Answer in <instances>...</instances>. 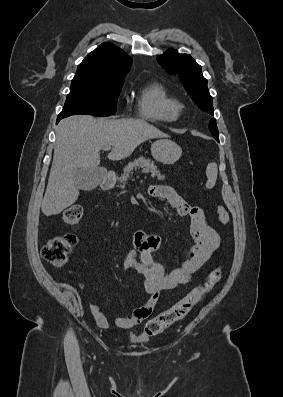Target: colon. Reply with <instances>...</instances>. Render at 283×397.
Returning a JSON list of instances; mask_svg holds the SVG:
<instances>
[{
  "label": "colon",
  "mask_w": 283,
  "mask_h": 397,
  "mask_svg": "<svg viewBox=\"0 0 283 397\" xmlns=\"http://www.w3.org/2000/svg\"><path fill=\"white\" fill-rule=\"evenodd\" d=\"M216 212L223 225L229 223V213L224 206L217 205ZM82 216V207L73 205L64 211L62 218L67 225L77 226ZM76 243L77 237L74 234L56 236L42 247L41 255L51 265L62 267L68 262ZM222 274L221 266L213 269L202 285L188 293L173 307L150 319L145 325V333L148 336H156L186 317L201 298L221 279Z\"/></svg>",
  "instance_id": "obj_1"
}]
</instances>
